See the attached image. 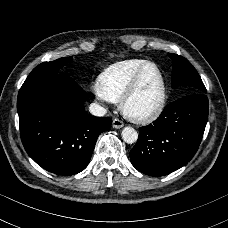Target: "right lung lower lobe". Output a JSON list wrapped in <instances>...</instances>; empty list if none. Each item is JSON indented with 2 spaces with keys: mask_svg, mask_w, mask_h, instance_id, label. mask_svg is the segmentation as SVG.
<instances>
[{
  "mask_svg": "<svg viewBox=\"0 0 228 228\" xmlns=\"http://www.w3.org/2000/svg\"><path fill=\"white\" fill-rule=\"evenodd\" d=\"M57 71L28 76L19 90L20 134L28 155L45 170L73 175L84 170L97 137L111 126L108 117L87 114V93L70 77L57 83Z\"/></svg>",
  "mask_w": 228,
  "mask_h": 228,
  "instance_id": "right-lung-lower-lobe-1",
  "label": "right lung lower lobe"
}]
</instances>
